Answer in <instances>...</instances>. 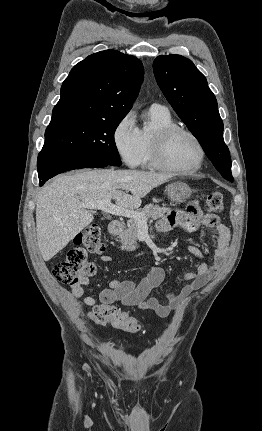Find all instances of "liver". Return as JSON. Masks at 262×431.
<instances>
[{"label":"liver","instance_id":"liver-1","mask_svg":"<svg viewBox=\"0 0 262 431\" xmlns=\"http://www.w3.org/2000/svg\"><path fill=\"white\" fill-rule=\"evenodd\" d=\"M170 178L167 174L113 169L57 176L37 197L36 232L42 258H53L93 221V214L83 203L110 198L116 206L134 210L141 206V198Z\"/></svg>","mask_w":262,"mask_h":431}]
</instances>
